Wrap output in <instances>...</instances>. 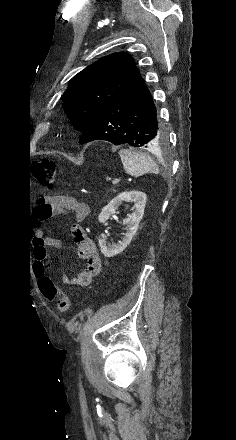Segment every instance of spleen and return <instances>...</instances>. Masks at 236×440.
I'll return each mask as SVG.
<instances>
[{
	"mask_svg": "<svg viewBox=\"0 0 236 440\" xmlns=\"http://www.w3.org/2000/svg\"><path fill=\"white\" fill-rule=\"evenodd\" d=\"M119 156L126 173L133 177H139L148 172L155 174L159 172L157 164L146 153L136 152L133 149H121Z\"/></svg>",
	"mask_w": 236,
	"mask_h": 440,
	"instance_id": "spleen-1",
	"label": "spleen"
}]
</instances>
